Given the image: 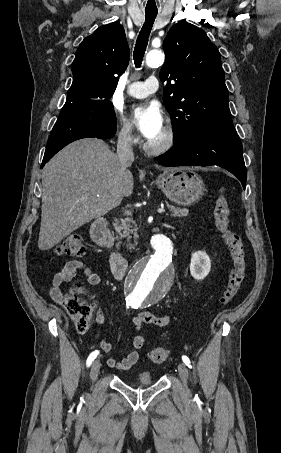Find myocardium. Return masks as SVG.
Instances as JSON below:
<instances>
[{"label":"myocardium","mask_w":281,"mask_h":453,"mask_svg":"<svg viewBox=\"0 0 281 453\" xmlns=\"http://www.w3.org/2000/svg\"><path fill=\"white\" fill-rule=\"evenodd\" d=\"M164 131L165 140L163 142L154 143L146 139L142 143V149L151 155H160L171 150L176 142L175 130L171 125L165 124Z\"/></svg>","instance_id":"myocardium-1"}]
</instances>
